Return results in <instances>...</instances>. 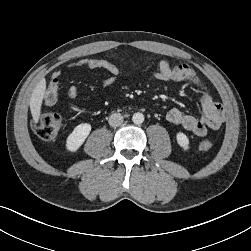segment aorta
Returning <instances> with one entry per match:
<instances>
[{
  "instance_id": "aorta-1",
  "label": "aorta",
  "mask_w": 251,
  "mask_h": 251,
  "mask_svg": "<svg viewBox=\"0 0 251 251\" xmlns=\"http://www.w3.org/2000/svg\"><path fill=\"white\" fill-rule=\"evenodd\" d=\"M132 121L135 124H142L144 122V115L140 112H137L133 115Z\"/></svg>"
}]
</instances>
